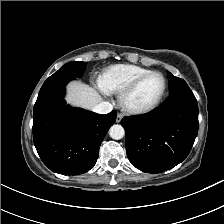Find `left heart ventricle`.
Returning a JSON list of instances; mask_svg holds the SVG:
<instances>
[{
  "label": "left heart ventricle",
  "instance_id": "obj_1",
  "mask_svg": "<svg viewBox=\"0 0 224 224\" xmlns=\"http://www.w3.org/2000/svg\"><path fill=\"white\" fill-rule=\"evenodd\" d=\"M163 89V79L159 75H152L143 81L129 99L133 106H146L159 96Z\"/></svg>",
  "mask_w": 224,
  "mask_h": 224
}]
</instances>
